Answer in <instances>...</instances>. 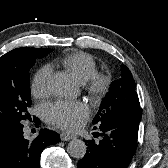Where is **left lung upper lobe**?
<instances>
[{"label": "left lung upper lobe", "instance_id": "1", "mask_svg": "<svg viewBox=\"0 0 168 168\" xmlns=\"http://www.w3.org/2000/svg\"><path fill=\"white\" fill-rule=\"evenodd\" d=\"M141 116L135 81L129 69L121 65V78L111 83L110 90L93 119V124L99 125L118 118H126L139 124Z\"/></svg>", "mask_w": 168, "mask_h": 168}]
</instances>
